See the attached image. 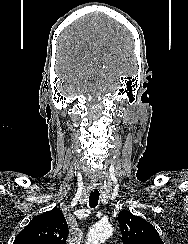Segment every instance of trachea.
<instances>
[{
	"label": "trachea",
	"instance_id": "3493384b",
	"mask_svg": "<svg viewBox=\"0 0 188 244\" xmlns=\"http://www.w3.org/2000/svg\"><path fill=\"white\" fill-rule=\"evenodd\" d=\"M99 196H100V193L98 192V189L94 188L93 192H91L90 196H89V206L91 208H94L98 205Z\"/></svg>",
	"mask_w": 188,
	"mask_h": 244
}]
</instances>
